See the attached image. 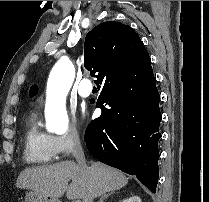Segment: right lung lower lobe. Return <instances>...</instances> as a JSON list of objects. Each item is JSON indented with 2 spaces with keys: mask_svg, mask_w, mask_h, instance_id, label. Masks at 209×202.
<instances>
[{
  "mask_svg": "<svg viewBox=\"0 0 209 202\" xmlns=\"http://www.w3.org/2000/svg\"><path fill=\"white\" fill-rule=\"evenodd\" d=\"M159 101L150 65L137 81L121 88L103 87L96 103L101 116L91 121L84 137L96 159L135 175L153 193L159 177Z\"/></svg>",
  "mask_w": 209,
  "mask_h": 202,
  "instance_id": "98d812e1",
  "label": "right lung lower lobe"
}]
</instances>
